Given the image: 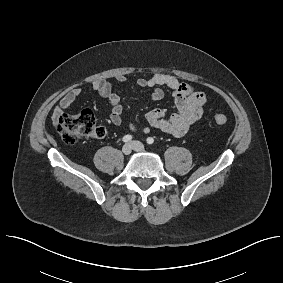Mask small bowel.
Instances as JSON below:
<instances>
[{
  "label": "small bowel",
  "instance_id": "small-bowel-1",
  "mask_svg": "<svg viewBox=\"0 0 283 283\" xmlns=\"http://www.w3.org/2000/svg\"><path fill=\"white\" fill-rule=\"evenodd\" d=\"M117 81L120 84L126 83L124 76H118ZM138 86L149 88L151 90L150 99L152 101L161 100L165 95V89H168L174 99L177 112L167 115L163 108H154L147 112L146 123L139 130L145 134L152 129H157L180 137L185 135L190 127L198 121L203 114V107L207 101L204 92L196 90L192 85L181 82L175 76L168 74H154L149 78H140L137 81ZM101 97L108 100L111 106L109 120L113 125H120L122 122L123 106L120 96L113 90L112 85L108 81H96L91 86ZM82 89L75 88L68 92L55 106L53 118L58 119L63 115L75 100L81 96ZM132 131L138 128L134 123L130 124Z\"/></svg>",
  "mask_w": 283,
  "mask_h": 283
}]
</instances>
